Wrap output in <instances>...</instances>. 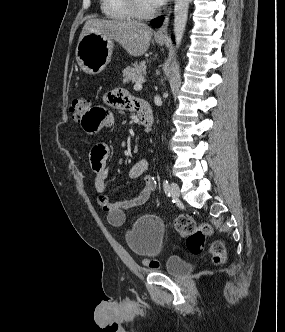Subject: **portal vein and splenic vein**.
I'll return each mask as SVG.
<instances>
[{
    "mask_svg": "<svg viewBox=\"0 0 285 332\" xmlns=\"http://www.w3.org/2000/svg\"><path fill=\"white\" fill-rule=\"evenodd\" d=\"M142 82H144V78H142L140 81L136 82L134 85L135 90H141L142 89Z\"/></svg>",
    "mask_w": 285,
    "mask_h": 332,
    "instance_id": "portal-vein-and-splenic-vein-1",
    "label": "portal vein and splenic vein"
}]
</instances>
